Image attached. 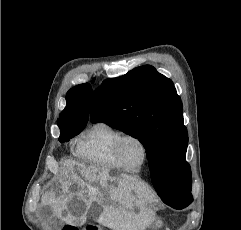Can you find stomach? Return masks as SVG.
<instances>
[{
	"instance_id": "obj_1",
	"label": "stomach",
	"mask_w": 241,
	"mask_h": 230,
	"mask_svg": "<svg viewBox=\"0 0 241 230\" xmlns=\"http://www.w3.org/2000/svg\"><path fill=\"white\" fill-rule=\"evenodd\" d=\"M163 227H164V220L161 217L155 216L149 228L150 230H163L164 229Z\"/></svg>"
}]
</instances>
